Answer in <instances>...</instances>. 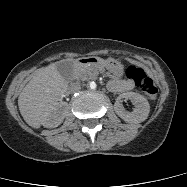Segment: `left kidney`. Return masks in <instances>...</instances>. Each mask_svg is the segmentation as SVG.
Returning <instances> with one entry per match:
<instances>
[{"label": "left kidney", "instance_id": "obj_1", "mask_svg": "<svg viewBox=\"0 0 187 187\" xmlns=\"http://www.w3.org/2000/svg\"><path fill=\"white\" fill-rule=\"evenodd\" d=\"M121 99H129L135 105L132 112H126L120 104ZM115 111L124 121L128 123H140L147 119L150 106L146 98L135 92L122 93L115 103Z\"/></svg>", "mask_w": 187, "mask_h": 187}]
</instances>
